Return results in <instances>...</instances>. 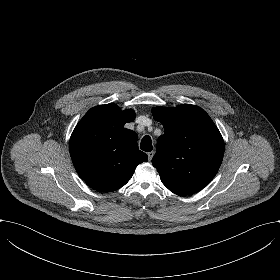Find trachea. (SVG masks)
I'll use <instances>...</instances> for the list:
<instances>
[{"label":"trachea","instance_id":"3493384b","mask_svg":"<svg viewBox=\"0 0 280 280\" xmlns=\"http://www.w3.org/2000/svg\"><path fill=\"white\" fill-rule=\"evenodd\" d=\"M141 150L146 151V152H150L152 151V141L150 136H144L143 139L141 140Z\"/></svg>","mask_w":280,"mask_h":280}]
</instances>
